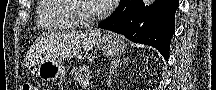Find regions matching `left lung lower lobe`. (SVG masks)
I'll return each instance as SVG.
<instances>
[{
  "label": "left lung lower lobe",
  "instance_id": "1",
  "mask_svg": "<svg viewBox=\"0 0 216 90\" xmlns=\"http://www.w3.org/2000/svg\"><path fill=\"white\" fill-rule=\"evenodd\" d=\"M178 5V0H156L150 6H144L141 0H121L117 10L99 27L153 46L168 60Z\"/></svg>",
  "mask_w": 216,
  "mask_h": 90
}]
</instances>
